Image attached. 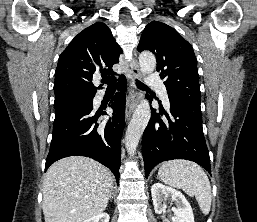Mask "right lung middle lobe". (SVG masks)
Segmentation results:
<instances>
[{
  "label": "right lung middle lobe",
  "instance_id": "1",
  "mask_svg": "<svg viewBox=\"0 0 257 222\" xmlns=\"http://www.w3.org/2000/svg\"><path fill=\"white\" fill-rule=\"evenodd\" d=\"M93 103V97L90 98H80L65 102L55 103V117L61 116L69 111L81 109L88 110L91 108Z\"/></svg>",
  "mask_w": 257,
  "mask_h": 222
}]
</instances>
